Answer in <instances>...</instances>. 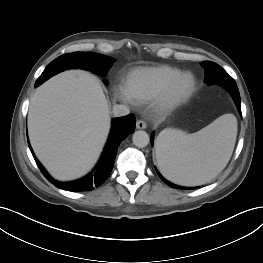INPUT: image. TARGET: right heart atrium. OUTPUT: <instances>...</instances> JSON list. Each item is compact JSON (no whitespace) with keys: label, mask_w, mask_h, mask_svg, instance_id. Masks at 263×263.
<instances>
[{"label":"right heart atrium","mask_w":263,"mask_h":263,"mask_svg":"<svg viewBox=\"0 0 263 263\" xmlns=\"http://www.w3.org/2000/svg\"><path fill=\"white\" fill-rule=\"evenodd\" d=\"M119 96H120L122 99H125V100L128 99L125 90L122 89V88L119 90Z\"/></svg>","instance_id":"obj_1"}]
</instances>
